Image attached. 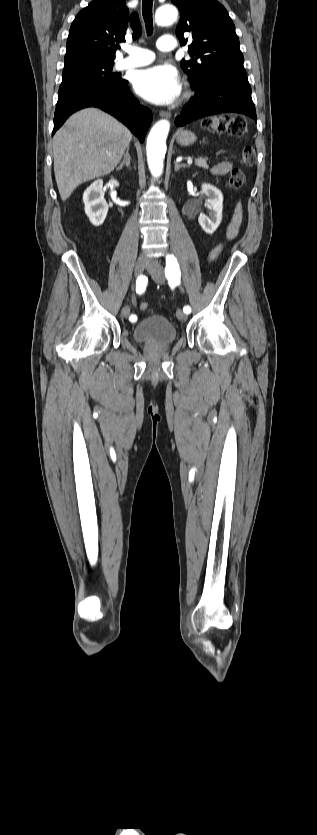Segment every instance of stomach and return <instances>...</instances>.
Here are the masks:
<instances>
[{
    "label": "stomach",
    "instance_id": "obj_1",
    "mask_svg": "<svg viewBox=\"0 0 317 835\" xmlns=\"http://www.w3.org/2000/svg\"><path fill=\"white\" fill-rule=\"evenodd\" d=\"M175 137L177 143L181 146H190L197 140L196 135L189 130H179Z\"/></svg>",
    "mask_w": 317,
    "mask_h": 835
}]
</instances>
